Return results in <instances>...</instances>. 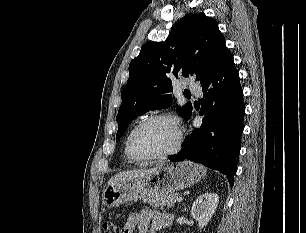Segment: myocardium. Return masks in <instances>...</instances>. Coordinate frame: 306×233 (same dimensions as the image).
Wrapping results in <instances>:
<instances>
[{"label":"myocardium","instance_id":"f54148a6","mask_svg":"<svg viewBox=\"0 0 306 233\" xmlns=\"http://www.w3.org/2000/svg\"><path fill=\"white\" fill-rule=\"evenodd\" d=\"M158 119L171 121L175 125L176 130H177V138H176L174 146L170 150L165 151L163 153H158V154H153V155H148V156H143V157L137 156L132 149V140H133L135 133L146 123L153 121V120H158ZM182 141H183V130H182V127L180 125L178 118L175 115L168 113V112H159V113H154V114H151L145 117L133 127V129L129 133L127 140H126L125 152L127 156L134 162H147L151 160L166 158V157L176 154L181 148Z\"/></svg>","mask_w":306,"mask_h":233}]
</instances>
